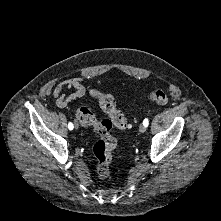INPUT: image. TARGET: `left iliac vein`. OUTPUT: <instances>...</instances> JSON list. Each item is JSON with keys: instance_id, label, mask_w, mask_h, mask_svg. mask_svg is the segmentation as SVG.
Masks as SVG:
<instances>
[{"instance_id": "4c4485c4", "label": "left iliac vein", "mask_w": 221, "mask_h": 221, "mask_svg": "<svg viewBox=\"0 0 221 221\" xmlns=\"http://www.w3.org/2000/svg\"><path fill=\"white\" fill-rule=\"evenodd\" d=\"M146 130H147V127H146V126H144V125H140V126H139V131H140L141 133L146 132Z\"/></svg>"}]
</instances>
